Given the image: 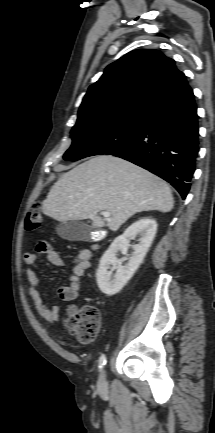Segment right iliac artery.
Segmentation results:
<instances>
[{
	"instance_id": "right-iliac-artery-1",
	"label": "right iliac artery",
	"mask_w": 215,
	"mask_h": 433,
	"mask_svg": "<svg viewBox=\"0 0 215 433\" xmlns=\"http://www.w3.org/2000/svg\"><path fill=\"white\" fill-rule=\"evenodd\" d=\"M106 364V356L104 354H102L99 358V369L101 370L104 365Z\"/></svg>"
}]
</instances>
